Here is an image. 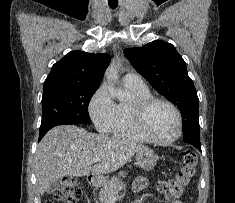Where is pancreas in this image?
Listing matches in <instances>:
<instances>
[{
  "label": "pancreas",
  "mask_w": 235,
  "mask_h": 203,
  "mask_svg": "<svg viewBox=\"0 0 235 203\" xmlns=\"http://www.w3.org/2000/svg\"><path fill=\"white\" fill-rule=\"evenodd\" d=\"M125 172H121L119 177L112 178L99 192V200L101 203H109L112 196H116L120 190L125 187L120 177H125Z\"/></svg>",
  "instance_id": "1"
}]
</instances>
